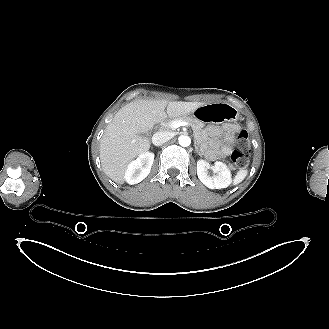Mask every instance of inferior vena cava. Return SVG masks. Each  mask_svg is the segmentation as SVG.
<instances>
[{"label": "inferior vena cava", "instance_id": "obj_1", "mask_svg": "<svg viewBox=\"0 0 329 329\" xmlns=\"http://www.w3.org/2000/svg\"><path fill=\"white\" fill-rule=\"evenodd\" d=\"M172 138V134L167 131H158L152 137V143L155 146H160L170 140Z\"/></svg>", "mask_w": 329, "mask_h": 329}]
</instances>
